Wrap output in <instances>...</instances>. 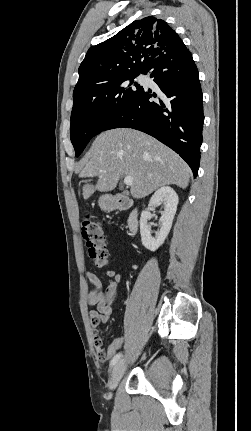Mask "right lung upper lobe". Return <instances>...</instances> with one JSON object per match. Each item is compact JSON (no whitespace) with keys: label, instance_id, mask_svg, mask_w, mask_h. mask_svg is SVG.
<instances>
[{"label":"right lung upper lobe","instance_id":"1","mask_svg":"<svg viewBox=\"0 0 251 431\" xmlns=\"http://www.w3.org/2000/svg\"><path fill=\"white\" fill-rule=\"evenodd\" d=\"M181 45L178 34L164 20L153 16L136 20L88 50L73 95L127 74L145 72L167 49Z\"/></svg>","mask_w":251,"mask_h":431}]
</instances>
